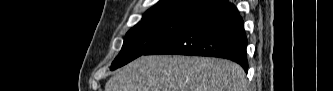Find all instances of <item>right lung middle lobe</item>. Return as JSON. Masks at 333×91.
<instances>
[{
  "label": "right lung middle lobe",
  "mask_w": 333,
  "mask_h": 91,
  "mask_svg": "<svg viewBox=\"0 0 333 91\" xmlns=\"http://www.w3.org/2000/svg\"><path fill=\"white\" fill-rule=\"evenodd\" d=\"M214 3L216 2L213 0H206L201 4L200 8L204 11ZM189 20L187 18L173 17L142 18L137 25L127 32L123 47L113 61L111 70L119 68L145 54L182 28Z\"/></svg>",
  "instance_id": "obj_1"
}]
</instances>
